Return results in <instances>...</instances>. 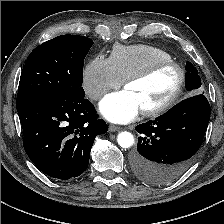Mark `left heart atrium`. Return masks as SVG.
<instances>
[{
	"instance_id": "obj_1",
	"label": "left heart atrium",
	"mask_w": 224,
	"mask_h": 224,
	"mask_svg": "<svg viewBox=\"0 0 224 224\" xmlns=\"http://www.w3.org/2000/svg\"><path fill=\"white\" fill-rule=\"evenodd\" d=\"M101 114L113 123H128L141 111L137 99L126 89L107 95L99 104Z\"/></svg>"
}]
</instances>
